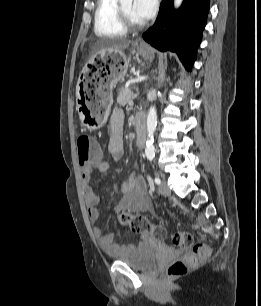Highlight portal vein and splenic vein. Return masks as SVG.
<instances>
[{
    "label": "portal vein and splenic vein",
    "mask_w": 261,
    "mask_h": 306,
    "mask_svg": "<svg viewBox=\"0 0 261 306\" xmlns=\"http://www.w3.org/2000/svg\"><path fill=\"white\" fill-rule=\"evenodd\" d=\"M135 97H136V96H135ZM129 104L132 105V104H133V101L131 100V101L129 102Z\"/></svg>",
    "instance_id": "1"
}]
</instances>
